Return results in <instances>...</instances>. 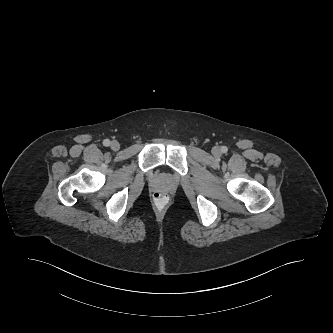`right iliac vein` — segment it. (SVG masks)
I'll return each mask as SVG.
<instances>
[{"instance_id":"obj_1","label":"right iliac vein","mask_w":333,"mask_h":333,"mask_svg":"<svg viewBox=\"0 0 333 333\" xmlns=\"http://www.w3.org/2000/svg\"><path fill=\"white\" fill-rule=\"evenodd\" d=\"M110 147L113 151H118L120 149V144L118 141L114 140L111 142Z\"/></svg>"}]
</instances>
